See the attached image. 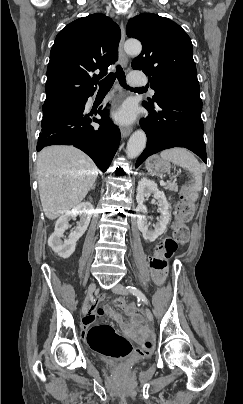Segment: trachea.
Segmentation results:
<instances>
[{
  "label": "trachea",
  "mask_w": 243,
  "mask_h": 404,
  "mask_svg": "<svg viewBox=\"0 0 243 404\" xmlns=\"http://www.w3.org/2000/svg\"><path fill=\"white\" fill-rule=\"evenodd\" d=\"M119 80V83L125 89L134 90L133 88L129 87L126 83L125 73L120 65L116 66V72L110 73L107 77H105L101 82H99V91H109L114 84L115 79ZM143 87H140V89ZM138 90V89H135Z\"/></svg>",
  "instance_id": "trachea-1"
}]
</instances>
